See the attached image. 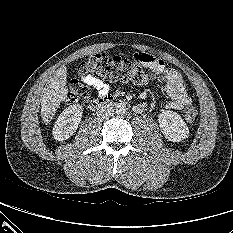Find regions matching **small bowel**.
<instances>
[{"mask_svg": "<svg viewBox=\"0 0 233 233\" xmlns=\"http://www.w3.org/2000/svg\"><path fill=\"white\" fill-rule=\"evenodd\" d=\"M142 60L145 67L151 69L159 75V81L163 85L164 92L170 98L166 107L171 110H181L191 103L181 74L172 68H166L161 59L152 55L140 53L136 55ZM83 81L95 91L98 97H105L109 92V85L99 78L87 75ZM143 106L138 107L141 110Z\"/></svg>", "mask_w": 233, "mask_h": 233, "instance_id": "1", "label": "small bowel"}]
</instances>
